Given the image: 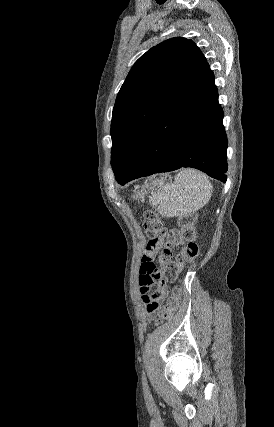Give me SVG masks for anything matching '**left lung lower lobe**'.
<instances>
[{
	"mask_svg": "<svg viewBox=\"0 0 274 427\" xmlns=\"http://www.w3.org/2000/svg\"><path fill=\"white\" fill-rule=\"evenodd\" d=\"M214 75L208 63L197 72L151 127L119 184L182 167L199 169L222 182L227 176V137Z\"/></svg>",
	"mask_w": 274,
	"mask_h": 427,
	"instance_id": "0a47b994",
	"label": "left lung lower lobe"
}]
</instances>
